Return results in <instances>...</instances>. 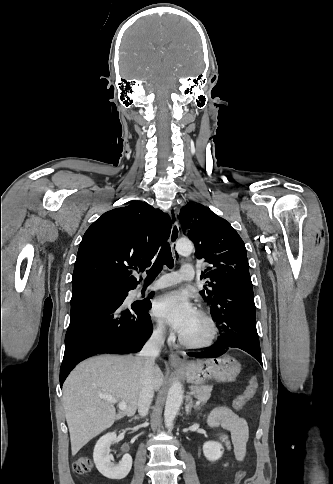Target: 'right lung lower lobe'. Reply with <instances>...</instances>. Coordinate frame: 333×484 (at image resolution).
I'll use <instances>...</instances> for the list:
<instances>
[{
    "mask_svg": "<svg viewBox=\"0 0 333 484\" xmlns=\"http://www.w3.org/2000/svg\"><path fill=\"white\" fill-rule=\"evenodd\" d=\"M128 291L100 286L73 290L60 386L75 365L87 357L141 350L153 330L147 312L150 303L123 305Z\"/></svg>",
    "mask_w": 333,
    "mask_h": 484,
    "instance_id": "98d812e1",
    "label": "right lung lower lobe"
}]
</instances>
